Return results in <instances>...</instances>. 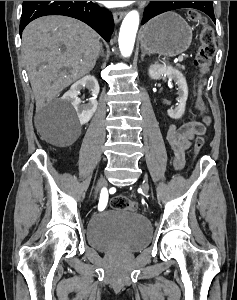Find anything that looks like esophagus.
Masks as SVG:
<instances>
[{"mask_svg": "<svg viewBox=\"0 0 237 300\" xmlns=\"http://www.w3.org/2000/svg\"><path fill=\"white\" fill-rule=\"evenodd\" d=\"M125 11H116L113 13V18L115 23H119L121 19L125 16Z\"/></svg>", "mask_w": 237, "mask_h": 300, "instance_id": "esophagus-1", "label": "esophagus"}]
</instances>
